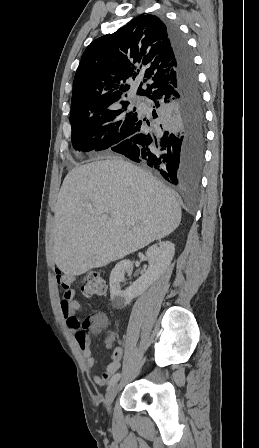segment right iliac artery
Masks as SVG:
<instances>
[{"instance_id": "82829eb1", "label": "right iliac artery", "mask_w": 259, "mask_h": 448, "mask_svg": "<svg viewBox=\"0 0 259 448\" xmlns=\"http://www.w3.org/2000/svg\"><path fill=\"white\" fill-rule=\"evenodd\" d=\"M120 376H121L120 373L115 374L109 381V386L115 384L120 379Z\"/></svg>"}]
</instances>
